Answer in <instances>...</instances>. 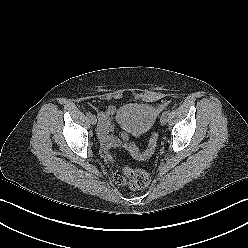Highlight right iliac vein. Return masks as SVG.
Wrapping results in <instances>:
<instances>
[{
  "mask_svg": "<svg viewBox=\"0 0 248 248\" xmlns=\"http://www.w3.org/2000/svg\"><path fill=\"white\" fill-rule=\"evenodd\" d=\"M90 122H91L92 125H96L97 119H96V117H95L94 115H92V116L90 117Z\"/></svg>",
  "mask_w": 248,
  "mask_h": 248,
  "instance_id": "1",
  "label": "right iliac vein"
}]
</instances>
